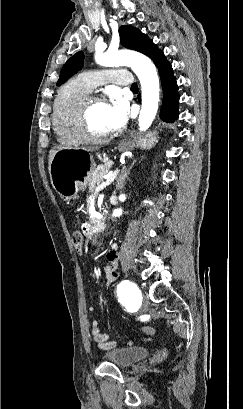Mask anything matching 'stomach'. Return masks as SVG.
<instances>
[{
	"label": "stomach",
	"instance_id": "1",
	"mask_svg": "<svg viewBox=\"0 0 243 409\" xmlns=\"http://www.w3.org/2000/svg\"><path fill=\"white\" fill-rule=\"evenodd\" d=\"M156 142V133L151 132L144 137L122 142L118 148L120 151L134 147L150 149ZM94 169L95 162L89 153L78 149L58 150L49 169L52 186L61 196H74L86 188Z\"/></svg>",
	"mask_w": 243,
	"mask_h": 409
}]
</instances>
